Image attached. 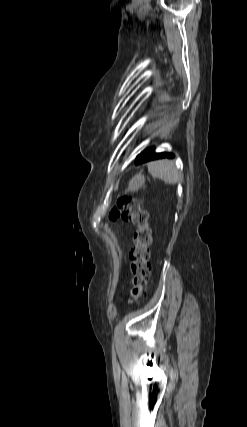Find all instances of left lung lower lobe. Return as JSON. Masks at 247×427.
Listing matches in <instances>:
<instances>
[{
  "label": "left lung lower lobe",
  "instance_id": "1",
  "mask_svg": "<svg viewBox=\"0 0 247 427\" xmlns=\"http://www.w3.org/2000/svg\"><path fill=\"white\" fill-rule=\"evenodd\" d=\"M173 157L174 155L171 153H156L154 151V148H148L136 157L135 164L139 165V164L156 160V159L173 158Z\"/></svg>",
  "mask_w": 247,
  "mask_h": 427
}]
</instances>
